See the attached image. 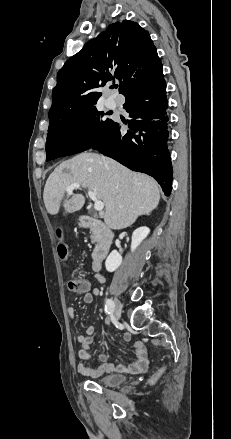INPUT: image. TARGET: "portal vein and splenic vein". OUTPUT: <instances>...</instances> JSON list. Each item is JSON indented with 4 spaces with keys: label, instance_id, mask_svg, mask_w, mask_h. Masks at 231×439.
<instances>
[{
    "label": "portal vein and splenic vein",
    "instance_id": "18ae733b",
    "mask_svg": "<svg viewBox=\"0 0 231 439\" xmlns=\"http://www.w3.org/2000/svg\"><path fill=\"white\" fill-rule=\"evenodd\" d=\"M79 188H81V185L78 183H74V184L70 185L68 188H66V192L68 194H72L73 190L79 189ZM88 196L94 202V209L98 212H102L104 209V203L96 197V194L94 192H92L90 190H88Z\"/></svg>",
    "mask_w": 231,
    "mask_h": 439
}]
</instances>
